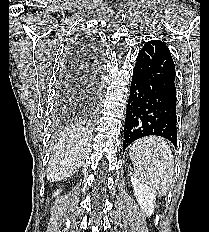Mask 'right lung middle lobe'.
<instances>
[{"label": "right lung middle lobe", "instance_id": "obj_1", "mask_svg": "<svg viewBox=\"0 0 209 232\" xmlns=\"http://www.w3.org/2000/svg\"><path fill=\"white\" fill-rule=\"evenodd\" d=\"M68 96V87L63 85L57 101L56 125L63 130L70 124L75 123V103L73 104Z\"/></svg>", "mask_w": 209, "mask_h": 232}]
</instances>
